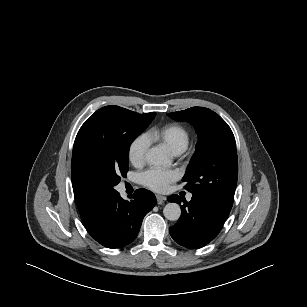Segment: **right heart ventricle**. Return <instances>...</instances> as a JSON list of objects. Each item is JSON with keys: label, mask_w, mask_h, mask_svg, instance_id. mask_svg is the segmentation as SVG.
<instances>
[{"label": "right heart ventricle", "mask_w": 307, "mask_h": 307, "mask_svg": "<svg viewBox=\"0 0 307 307\" xmlns=\"http://www.w3.org/2000/svg\"><path fill=\"white\" fill-rule=\"evenodd\" d=\"M148 140L164 144L174 154L184 152L190 141L188 130L180 124H168L147 132Z\"/></svg>", "instance_id": "1"}]
</instances>
